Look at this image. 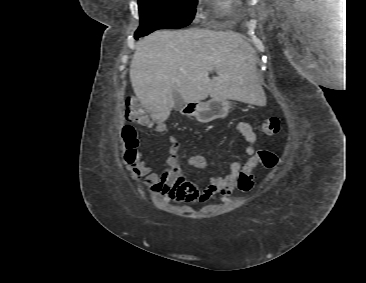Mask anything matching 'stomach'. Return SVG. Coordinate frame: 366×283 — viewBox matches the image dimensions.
<instances>
[{"label":"stomach","mask_w":366,"mask_h":283,"mask_svg":"<svg viewBox=\"0 0 366 283\" xmlns=\"http://www.w3.org/2000/svg\"><path fill=\"white\" fill-rule=\"evenodd\" d=\"M190 108L191 115L200 123H208L215 119L223 118L228 114L230 108L229 99L211 98L207 102L184 103L181 110Z\"/></svg>","instance_id":"0dacf381"}]
</instances>
